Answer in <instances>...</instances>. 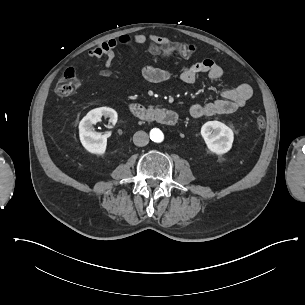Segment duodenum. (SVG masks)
I'll return each mask as SVG.
<instances>
[{
  "instance_id": "1",
  "label": "duodenum",
  "mask_w": 305,
  "mask_h": 305,
  "mask_svg": "<svg viewBox=\"0 0 305 305\" xmlns=\"http://www.w3.org/2000/svg\"><path fill=\"white\" fill-rule=\"evenodd\" d=\"M128 109L138 120L152 121L164 126H174L178 120L177 114L168 108H150L140 103H131Z\"/></svg>"
}]
</instances>
